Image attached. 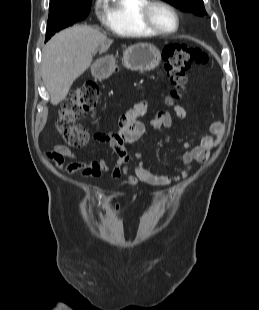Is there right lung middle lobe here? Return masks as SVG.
Wrapping results in <instances>:
<instances>
[{
    "mask_svg": "<svg viewBox=\"0 0 259 310\" xmlns=\"http://www.w3.org/2000/svg\"><path fill=\"white\" fill-rule=\"evenodd\" d=\"M90 2L91 0L80 4L49 7L46 40L59 30L85 19L90 12Z\"/></svg>",
    "mask_w": 259,
    "mask_h": 310,
    "instance_id": "obj_1",
    "label": "right lung middle lobe"
}]
</instances>
